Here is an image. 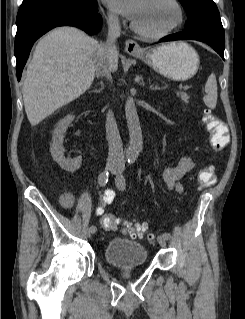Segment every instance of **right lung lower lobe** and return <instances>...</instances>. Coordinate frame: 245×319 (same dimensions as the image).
Segmentation results:
<instances>
[{
	"label": "right lung lower lobe",
	"instance_id": "right-lung-lower-lobe-1",
	"mask_svg": "<svg viewBox=\"0 0 245 319\" xmlns=\"http://www.w3.org/2000/svg\"><path fill=\"white\" fill-rule=\"evenodd\" d=\"M97 12L96 0H89L86 4L53 2L20 8L16 20L15 39L17 79L20 80L30 50L39 37L50 29L62 25L76 26L88 34H94L102 25L101 15Z\"/></svg>",
	"mask_w": 245,
	"mask_h": 319
}]
</instances>
